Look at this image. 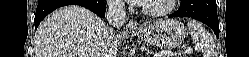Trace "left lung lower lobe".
Returning <instances> with one entry per match:
<instances>
[{"mask_svg":"<svg viewBox=\"0 0 249 57\" xmlns=\"http://www.w3.org/2000/svg\"><path fill=\"white\" fill-rule=\"evenodd\" d=\"M169 17H191L211 27L219 37V21L215 0H181L179 9Z\"/></svg>","mask_w":249,"mask_h":57,"instance_id":"left-lung-lower-lobe-1","label":"left lung lower lobe"}]
</instances>
